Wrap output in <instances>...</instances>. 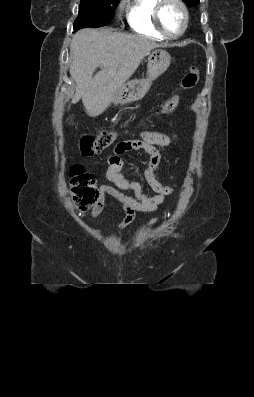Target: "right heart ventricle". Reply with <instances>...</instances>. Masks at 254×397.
<instances>
[{
	"instance_id": "1",
	"label": "right heart ventricle",
	"mask_w": 254,
	"mask_h": 397,
	"mask_svg": "<svg viewBox=\"0 0 254 397\" xmlns=\"http://www.w3.org/2000/svg\"><path fill=\"white\" fill-rule=\"evenodd\" d=\"M158 0H131L128 5L127 19L129 26L136 34L161 41L162 36L155 28L153 10Z\"/></svg>"
}]
</instances>
